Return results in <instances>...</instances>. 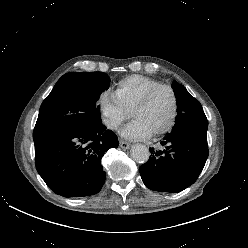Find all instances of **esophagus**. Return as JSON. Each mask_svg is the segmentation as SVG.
Here are the masks:
<instances>
[{
    "mask_svg": "<svg viewBox=\"0 0 248 248\" xmlns=\"http://www.w3.org/2000/svg\"><path fill=\"white\" fill-rule=\"evenodd\" d=\"M119 146L123 149H128L130 147V144L126 141L120 140Z\"/></svg>",
    "mask_w": 248,
    "mask_h": 248,
    "instance_id": "34e87169",
    "label": "esophagus"
}]
</instances>
